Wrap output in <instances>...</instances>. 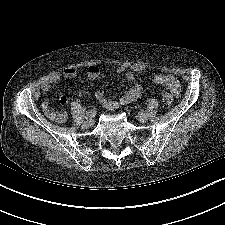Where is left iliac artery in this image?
Instances as JSON below:
<instances>
[{"label": "left iliac artery", "instance_id": "left-iliac-artery-1", "mask_svg": "<svg viewBox=\"0 0 225 225\" xmlns=\"http://www.w3.org/2000/svg\"><path fill=\"white\" fill-rule=\"evenodd\" d=\"M148 114V109H142L141 110V115H146Z\"/></svg>", "mask_w": 225, "mask_h": 225}]
</instances>
